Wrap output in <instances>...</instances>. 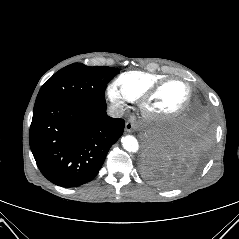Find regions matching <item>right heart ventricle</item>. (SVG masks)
Returning <instances> with one entry per match:
<instances>
[{"label": "right heart ventricle", "instance_id": "1", "mask_svg": "<svg viewBox=\"0 0 239 239\" xmlns=\"http://www.w3.org/2000/svg\"><path fill=\"white\" fill-rule=\"evenodd\" d=\"M163 74L143 71H128L121 74L116 85L131 101L140 99L151 87L166 79Z\"/></svg>", "mask_w": 239, "mask_h": 239}]
</instances>
